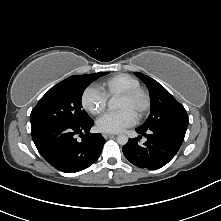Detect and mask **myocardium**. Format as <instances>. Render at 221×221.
Returning a JSON list of instances; mask_svg holds the SVG:
<instances>
[{
    "label": "myocardium",
    "instance_id": "myocardium-1",
    "mask_svg": "<svg viewBox=\"0 0 221 221\" xmlns=\"http://www.w3.org/2000/svg\"><path fill=\"white\" fill-rule=\"evenodd\" d=\"M139 97L143 99V104L135 116L138 119H141L150 111V108H151V96L149 92L139 87V88L128 90L119 95V98H123L127 100H134Z\"/></svg>",
    "mask_w": 221,
    "mask_h": 221
}]
</instances>
